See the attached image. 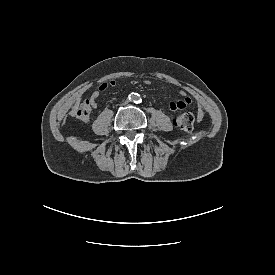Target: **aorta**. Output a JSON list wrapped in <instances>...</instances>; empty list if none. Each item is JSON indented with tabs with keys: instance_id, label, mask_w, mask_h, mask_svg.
<instances>
[{
	"instance_id": "obj_1",
	"label": "aorta",
	"mask_w": 275,
	"mask_h": 275,
	"mask_svg": "<svg viewBox=\"0 0 275 275\" xmlns=\"http://www.w3.org/2000/svg\"><path fill=\"white\" fill-rule=\"evenodd\" d=\"M132 100L134 101V102H138V100H139V95L138 94H134V95H132Z\"/></svg>"
}]
</instances>
